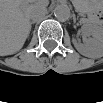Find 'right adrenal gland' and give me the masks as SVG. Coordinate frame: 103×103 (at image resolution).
<instances>
[{
    "mask_svg": "<svg viewBox=\"0 0 103 103\" xmlns=\"http://www.w3.org/2000/svg\"><path fill=\"white\" fill-rule=\"evenodd\" d=\"M35 22L34 21H32V22H30V30H31V27H32V24H34Z\"/></svg>",
    "mask_w": 103,
    "mask_h": 103,
    "instance_id": "2a0ac1e0",
    "label": "right adrenal gland"
}]
</instances>
